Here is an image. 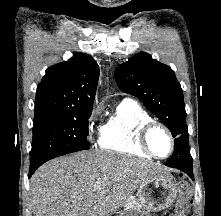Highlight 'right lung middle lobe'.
I'll list each match as a JSON object with an SVG mask.
<instances>
[{"mask_svg": "<svg viewBox=\"0 0 221 216\" xmlns=\"http://www.w3.org/2000/svg\"><path fill=\"white\" fill-rule=\"evenodd\" d=\"M92 109L76 111L33 124L30 166L68 153L88 150V119Z\"/></svg>", "mask_w": 221, "mask_h": 216, "instance_id": "right-lung-middle-lobe-1", "label": "right lung middle lobe"}]
</instances>
